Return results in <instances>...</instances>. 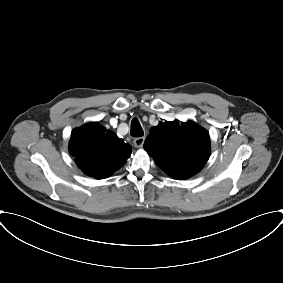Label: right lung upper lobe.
Instances as JSON below:
<instances>
[{"label": "right lung upper lobe", "instance_id": "1", "mask_svg": "<svg viewBox=\"0 0 283 283\" xmlns=\"http://www.w3.org/2000/svg\"><path fill=\"white\" fill-rule=\"evenodd\" d=\"M69 151L86 175L103 179L125 164L131 146L94 122L73 130Z\"/></svg>", "mask_w": 283, "mask_h": 283}]
</instances>
